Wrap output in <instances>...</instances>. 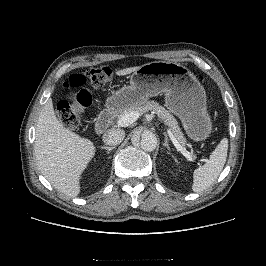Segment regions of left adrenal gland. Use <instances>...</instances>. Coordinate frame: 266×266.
<instances>
[{
  "label": "left adrenal gland",
  "mask_w": 266,
  "mask_h": 266,
  "mask_svg": "<svg viewBox=\"0 0 266 266\" xmlns=\"http://www.w3.org/2000/svg\"><path fill=\"white\" fill-rule=\"evenodd\" d=\"M163 146L166 147L168 149V151H170V147H169V144H168V137L167 135H165V141L163 143Z\"/></svg>",
  "instance_id": "1"
}]
</instances>
